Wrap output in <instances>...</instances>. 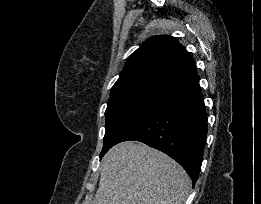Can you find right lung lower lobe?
<instances>
[{
    "instance_id": "right-lung-lower-lobe-1",
    "label": "right lung lower lobe",
    "mask_w": 261,
    "mask_h": 204,
    "mask_svg": "<svg viewBox=\"0 0 261 204\" xmlns=\"http://www.w3.org/2000/svg\"><path fill=\"white\" fill-rule=\"evenodd\" d=\"M206 134L207 113L199 75H195L170 90L115 144L136 140L166 153L187 171L194 186L202 164Z\"/></svg>"
}]
</instances>
